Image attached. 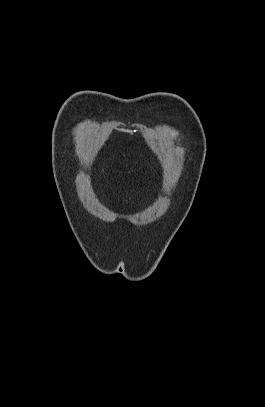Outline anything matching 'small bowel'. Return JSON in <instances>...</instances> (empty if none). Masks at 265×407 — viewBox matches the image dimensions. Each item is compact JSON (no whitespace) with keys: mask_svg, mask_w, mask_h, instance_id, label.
<instances>
[{"mask_svg":"<svg viewBox=\"0 0 265 407\" xmlns=\"http://www.w3.org/2000/svg\"><path fill=\"white\" fill-rule=\"evenodd\" d=\"M124 202H125V204H127V205L129 204L130 201H129V197H128V196L125 197Z\"/></svg>","mask_w":265,"mask_h":407,"instance_id":"small-bowel-1","label":"small bowel"}]
</instances>
